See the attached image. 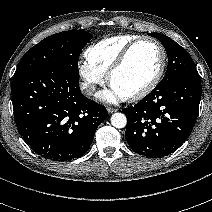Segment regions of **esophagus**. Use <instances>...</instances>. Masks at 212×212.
<instances>
[{
    "label": "esophagus",
    "instance_id": "34e87169",
    "mask_svg": "<svg viewBox=\"0 0 212 212\" xmlns=\"http://www.w3.org/2000/svg\"><path fill=\"white\" fill-rule=\"evenodd\" d=\"M107 111H108V113H114V112L117 111V109L116 108H112V107H107Z\"/></svg>",
    "mask_w": 212,
    "mask_h": 212
}]
</instances>
